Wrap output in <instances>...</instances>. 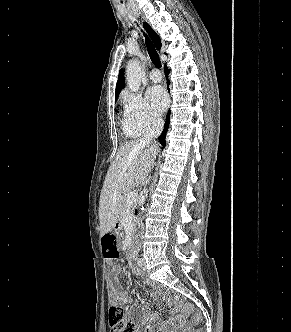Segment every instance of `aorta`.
I'll use <instances>...</instances> for the list:
<instances>
[{
    "label": "aorta",
    "instance_id": "aorta-1",
    "mask_svg": "<svg viewBox=\"0 0 291 332\" xmlns=\"http://www.w3.org/2000/svg\"><path fill=\"white\" fill-rule=\"evenodd\" d=\"M145 73L141 68L138 59H132L126 66V81L129 89L137 92L140 89L142 79Z\"/></svg>",
    "mask_w": 291,
    "mask_h": 332
}]
</instances>
